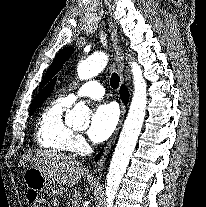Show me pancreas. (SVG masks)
Wrapping results in <instances>:
<instances>
[{
  "instance_id": "obj_1",
  "label": "pancreas",
  "mask_w": 206,
  "mask_h": 207,
  "mask_svg": "<svg viewBox=\"0 0 206 207\" xmlns=\"http://www.w3.org/2000/svg\"><path fill=\"white\" fill-rule=\"evenodd\" d=\"M68 199L69 202L67 203V207H81V194L79 192L71 193Z\"/></svg>"
}]
</instances>
